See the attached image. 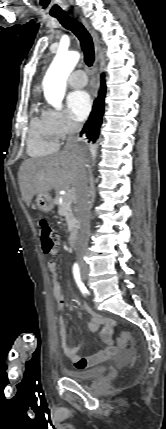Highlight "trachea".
Masks as SVG:
<instances>
[{"label": "trachea", "mask_w": 166, "mask_h": 429, "mask_svg": "<svg viewBox=\"0 0 166 429\" xmlns=\"http://www.w3.org/2000/svg\"><path fill=\"white\" fill-rule=\"evenodd\" d=\"M51 15L58 19L66 29L71 30L79 39L81 49L84 53V61L88 66H92L95 60L94 44L91 35L78 20L70 17L65 12L51 13Z\"/></svg>", "instance_id": "3493384b"}]
</instances>
